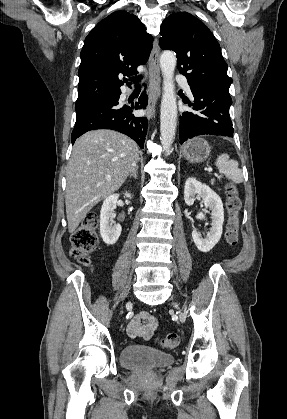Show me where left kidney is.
<instances>
[{
    "label": "left kidney",
    "instance_id": "obj_1",
    "mask_svg": "<svg viewBox=\"0 0 287 419\" xmlns=\"http://www.w3.org/2000/svg\"><path fill=\"white\" fill-rule=\"evenodd\" d=\"M202 198L206 208L211 210V228L206 238L196 230L192 231L193 241L201 252H209L220 240L223 230L224 209L221 198L206 184L195 178H188L185 182L184 200L188 206L194 204L195 196ZM197 219H204L205 215L201 212L196 216Z\"/></svg>",
    "mask_w": 287,
    "mask_h": 419
}]
</instances>
